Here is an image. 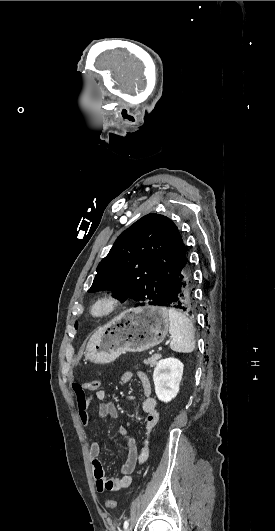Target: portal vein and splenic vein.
Listing matches in <instances>:
<instances>
[{
	"label": "portal vein and splenic vein",
	"instance_id": "portal-vein-and-splenic-vein-1",
	"mask_svg": "<svg viewBox=\"0 0 275 531\" xmlns=\"http://www.w3.org/2000/svg\"><path fill=\"white\" fill-rule=\"evenodd\" d=\"M170 342H171V339H168L166 346H169ZM159 350H163V347H159Z\"/></svg>",
	"mask_w": 275,
	"mask_h": 531
}]
</instances>
